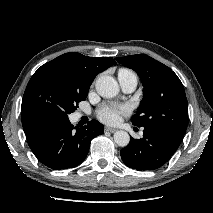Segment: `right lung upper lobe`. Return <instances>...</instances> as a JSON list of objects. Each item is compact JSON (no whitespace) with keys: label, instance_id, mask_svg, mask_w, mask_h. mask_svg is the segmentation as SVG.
I'll use <instances>...</instances> for the list:
<instances>
[{"label":"right lung upper lobe","instance_id":"obj_1","mask_svg":"<svg viewBox=\"0 0 213 213\" xmlns=\"http://www.w3.org/2000/svg\"><path fill=\"white\" fill-rule=\"evenodd\" d=\"M111 65H116L111 57L93 58L71 52L47 62L40 68L50 69L91 85L94 78Z\"/></svg>","mask_w":213,"mask_h":213}]
</instances>
